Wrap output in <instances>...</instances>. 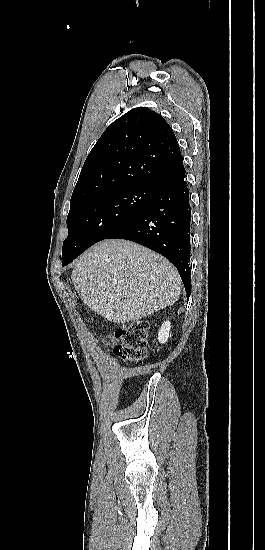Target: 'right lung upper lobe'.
<instances>
[{"instance_id": "cb5924a9", "label": "right lung upper lobe", "mask_w": 265, "mask_h": 550, "mask_svg": "<svg viewBox=\"0 0 265 550\" xmlns=\"http://www.w3.org/2000/svg\"><path fill=\"white\" fill-rule=\"evenodd\" d=\"M182 159L175 134L158 113L138 107L115 120L89 153L71 204L112 191L155 185Z\"/></svg>"}]
</instances>
